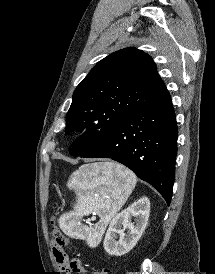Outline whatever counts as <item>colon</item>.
Wrapping results in <instances>:
<instances>
[{
  "label": "colon",
  "instance_id": "1",
  "mask_svg": "<svg viewBox=\"0 0 215 274\" xmlns=\"http://www.w3.org/2000/svg\"><path fill=\"white\" fill-rule=\"evenodd\" d=\"M52 237H53V242L61 247H65L68 244L67 237L62 233L55 219H53L52 221ZM109 272L110 271L108 269H104L100 273L109 274Z\"/></svg>",
  "mask_w": 215,
  "mask_h": 274
}]
</instances>
